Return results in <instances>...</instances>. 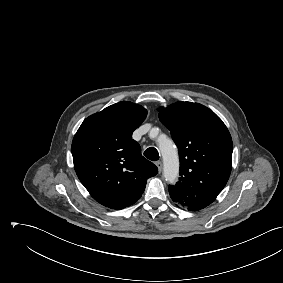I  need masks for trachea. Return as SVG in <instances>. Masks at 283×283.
Returning <instances> with one entry per match:
<instances>
[{"label": "trachea", "mask_w": 283, "mask_h": 283, "mask_svg": "<svg viewBox=\"0 0 283 283\" xmlns=\"http://www.w3.org/2000/svg\"><path fill=\"white\" fill-rule=\"evenodd\" d=\"M144 155L151 161H157L159 159V153L156 148L150 147L145 150Z\"/></svg>", "instance_id": "1"}]
</instances>
